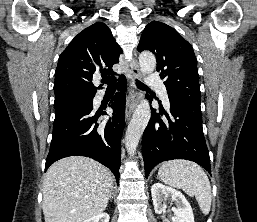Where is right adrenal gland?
I'll return each mask as SVG.
<instances>
[{"label":"right adrenal gland","instance_id":"2a0ac1e0","mask_svg":"<svg viewBox=\"0 0 257 222\" xmlns=\"http://www.w3.org/2000/svg\"><path fill=\"white\" fill-rule=\"evenodd\" d=\"M113 195H114V193H112V196H111V198H113Z\"/></svg>","mask_w":257,"mask_h":222}]
</instances>
